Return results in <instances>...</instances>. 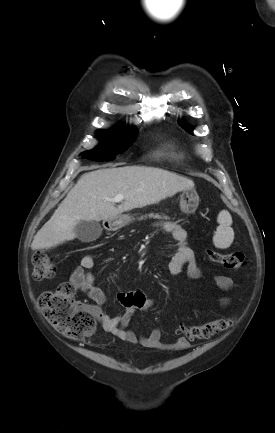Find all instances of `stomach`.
Here are the masks:
<instances>
[{"mask_svg":"<svg viewBox=\"0 0 275 433\" xmlns=\"http://www.w3.org/2000/svg\"><path fill=\"white\" fill-rule=\"evenodd\" d=\"M199 205V196L195 189H186L180 196V209L185 214H193ZM133 218L129 215H120L107 220L108 230H117L128 225Z\"/></svg>","mask_w":275,"mask_h":433,"instance_id":"stomach-1","label":"stomach"}]
</instances>
